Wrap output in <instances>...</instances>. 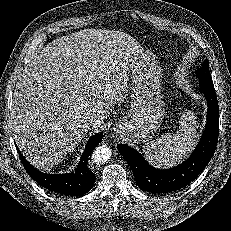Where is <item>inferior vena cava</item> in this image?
<instances>
[{
  "label": "inferior vena cava",
  "mask_w": 231,
  "mask_h": 231,
  "mask_svg": "<svg viewBox=\"0 0 231 231\" xmlns=\"http://www.w3.org/2000/svg\"><path fill=\"white\" fill-rule=\"evenodd\" d=\"M103 122L99 119H94V118H89L87 121H86V125L88 127H96V126H100Z\"/></svg>",
  "instance_id": "inferior-vena-cava-1"
}]
</instances>
